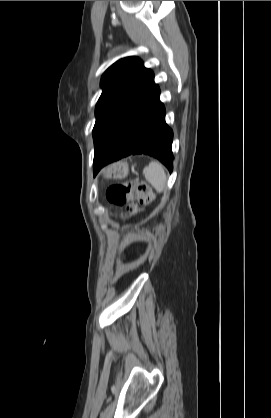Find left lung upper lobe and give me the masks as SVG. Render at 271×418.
<instances>
[{
  "label": "left lung upper lobe",
  "mask_w": 271,
  "mask_h": 418,
  "mask_svg": "<svg viewBox=\"0 0 271 418\" xmlns=\"http://www.w3.org/2000/svg\"><path fill=\"white\" fill-rule=\"evenodd\" d=\"M154 85L153 72L137 57L120 59L105 71L101 78L103 91L95 108V153Z\"/></svg>",
  "instance_id": "5c2ea615"
}]
</instances>
